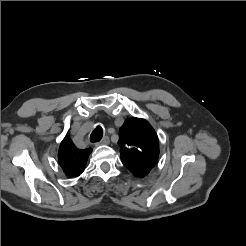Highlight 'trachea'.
<instances>
[{
	"mask_svg": "<svg viewBox=\"0 0 246 246\" xmlns=\"http://www.w3.org/2000/svg\"><path fill=\"white\" fill-rule=\"evenodd\" d=\"M103 136V129L101 126H97L90 135V141L92 143L99 142Z\"/></svg>",
	"mask_w": 246,
	"mask_h": 246,
	"instance_id": "3493384b",
	"label": "trachea"
}]
</instances>
